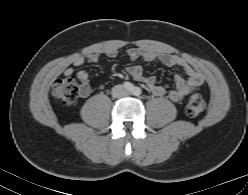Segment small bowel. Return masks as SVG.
<instances>
[{
    "label": "small bowel",
    "mask_w": 248,
    "mask_h": 195,
    "mask_svg": "<svg viewBox=\"0 0 248 195\" xmlns=\"http://www.w3.org/2000/svg\"><path fill=\"white\" fill-rule=\"evenodd\" d=\"M109 57H116L118 55V51L116 49H110L107 52ZM128 55L130 58L135 59L139 56L144 57L147 61H159L166 66H178L183 69L187 78H183L179 75L174 76V88L169 91V98L173 102H179L183 100L187 95L191 92L198 90L204 83L203 74L186 64L181 58L172 54H159L155 52H141L138 49H130L128 51ZM100 58V55L97 53L90 54L86 57H77L73 61L74 66H80L85 61L97 62ZM73 69L68 67L65 69V74H71ZM128 73L137 81L145 83L150 91L155 96H162L165 94L166 90L162 85H159L156 82L155 77L149 76L145 74L144 68L140 65H132L128 68ZM77 77L85 84V89L82 91V95L86 96L90 92V88L87 86L88 81V73L85 70H79L77 73Z\"/></svg>",
    "instance_id": "small-bowel-1"
}]
</instances>
